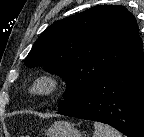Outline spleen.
Returning <instances> with one entry per match:
<instances>
[{
    "mask_svg": "<svg viewBox=\"0 0 144 137\" xmlns=\"http://www.w3.org/2000/svg\"><path fill=\"white\" fill-rule=\"evenodd\" d=\"M94 128L93 137H122V134L119 131L100 122H95Z\"/></svg>",
    "mask_w": 144,
    "mask_h": 137,
    "instance_id": "3e777b00",
    "label": "spleen"
}]
</instances>
